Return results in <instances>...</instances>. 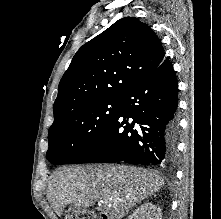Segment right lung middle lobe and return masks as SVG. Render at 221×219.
Returning <instances> with one entry per match:
<instances>
[{
  "instance_id": "dd1d6c3e",
  "label": "right lung middle lobe",
  "mask_w": 221,
  "mask_h": 219,
  "mask_svg": "<svg viewBox=\"0 0 221 219\" xmlns=\"http://www.w3.org/2000/svg\"><path fill=\"white\" fill-rule=\"evenodd\" d=\"M120 101L121 98L88 102L54 120L48 132V161L63 165L84 152L114 119Z\"/></svg>"
}]
</instances>
